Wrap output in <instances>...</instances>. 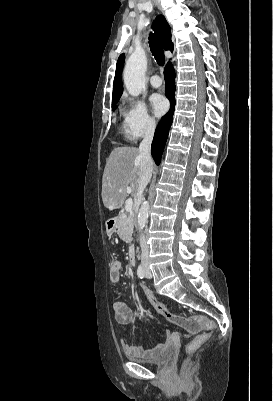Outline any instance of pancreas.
Segmentation results:
<instances>
[{"instance_id":"1","label":"pancreas","mask_w":273,"mask_h":401,"mask_svg":"<svg viewBox=\"0 0 273 401\" xmlns=\"http://www.w3.org/2000/svg\"><path fill=\"white\" fill-rule=\"evenodd\" d=\"M133 213H121L117 219L116 229L117 233L122 239V241H126V243H130L132 241L133 235Z\"/></svg>"}]
</instances>
